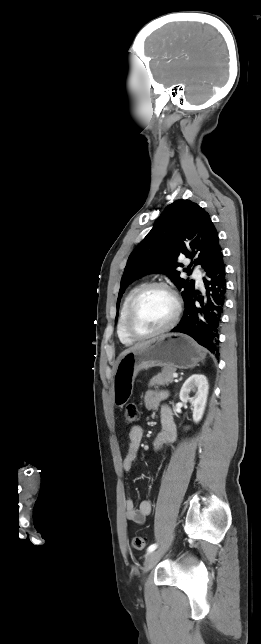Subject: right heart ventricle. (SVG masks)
<instances>
[{"instance_id": "right-heart-ventricle-1", "label": "right heart ventricle", "mask_w": 261, "mask_h": 644, "mask_svg": "<svg viewBox=\"0 0 261 644\" xmlns=\"http://www.w3.org/2000/svg\"><path fill=\"white\" fill-rule=\"evenodd\" d=\"M139 287H140L139 285H136V286L132 287L128 291V293L126 294V296L124 298V301L122 303V307H121L120 315H119V319H118L117 335H118V338L121 341V343L124 344V345H127V346L132 345L135 341L133 339H131L127 335V333L125 331V328H124L125 316H126V312H127L129 302H130L131 298L133 297L134 293L139 289Z\"/></svg>"}]
</instances>
